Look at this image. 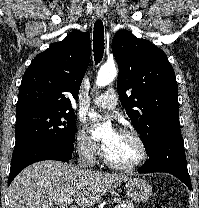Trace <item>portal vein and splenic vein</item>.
<instances>
[{
    "instance_id": "18ae733b",
    "label": "portal vein and splenic vein",
    "mask_w": 199,
    "mask_h": 208,
    "mask_svg": "<svg viewBox=\"0 0 199 208\" xmlns=\"http://www.w3.org/2000/svg\"><path fill=\"white\" fill-rule=\"evenodd\" d=\"M72 203H73V200L72 199H69L65 204L64 203H61L60 204V207L61 208H65V207H67V205H70ZM69 208H76V207L70 206ZM114 208H120V206H115Z\"/></svg>"
}]
</instances>
